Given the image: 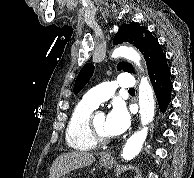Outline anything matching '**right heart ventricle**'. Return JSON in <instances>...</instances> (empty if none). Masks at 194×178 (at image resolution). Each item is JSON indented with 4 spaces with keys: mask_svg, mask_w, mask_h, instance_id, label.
<instances>
[{
    "mask_svg": "<svg viewBox=\"0 0 194 178\" xmlns=\"http://www.w3.org/2000/svg\"><path fill=\"white\" fill-rule=\"evenodd\" d=\"M95 108L96 106L84 100H81L75 105L65 132L66 142L70 148L87 151L97 146L88 126L89 116Z\"/></svg>",
    "mask_w": 194,
    "mask_h": 178,
    "instance_id": "obj_1",
    "label": "right heart ventricle"
}]
</instances>
